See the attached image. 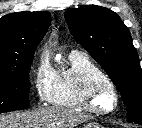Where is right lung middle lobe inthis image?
Here are the masks:
<instances>
[{"mask_svg":"<svg viewBox=\"0 0 142 128\" xmlns=\"http://www.w3.org/2000/svg\"><path fill=\"white\" fill-rule=\"evenodd\" d=\"M32 60L21 64L17 69L0 73V114L28 108Z\"/></svg>","mask_w":142,"mask_h":128,"instance_id":"dd1d6c3e","label":"right lung middle lobe"}]
</instances>
